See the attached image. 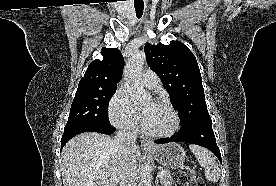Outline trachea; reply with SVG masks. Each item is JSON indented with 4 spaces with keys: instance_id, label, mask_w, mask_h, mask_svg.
<instances>
[{
    "instance_id": "3493384b",
    "label": "trachea",
    "mask_w": 276,
    "mask_h": 186,
    "mask_svg": "<svg viewBox=\"0 0 276 186\" xmlns=\"http://www.w3.org/2000/svg\"><path fill=\"white\" fill-rule=\"evenodd\" d=\"M134 7H135L137 18H141L143 15L144 3L143 2H134Z\"/></svg>"
}]
</instances>
